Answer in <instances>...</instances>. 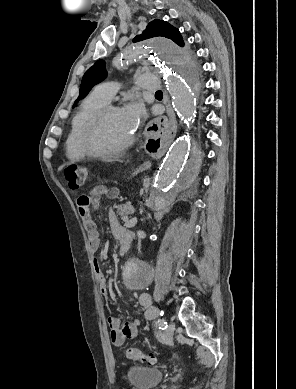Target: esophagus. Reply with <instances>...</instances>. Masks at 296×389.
Segmentation results:
<instances>
[{
  "instance_id": "34e87169",
  "label": "esophagus",
  "mask_w": 296,
  "mask_h": 389,
  "mask_svg": "<svg viewBox=\"0 0 296 389\" xmlns=\"http://www.w3.org/2000/svg\"><path fill=\"white\" fill-rule=\"evenodd\" d=\"M167 111L163 112L164 116L161 120L156 121L152 118H148L146 126L143 128L142 134L145 139H161L171 126L172 118H174V112L171 104L168 102Z\"/></svg>"
}]
</instances>
